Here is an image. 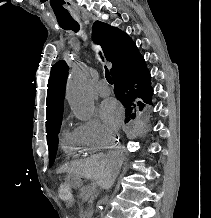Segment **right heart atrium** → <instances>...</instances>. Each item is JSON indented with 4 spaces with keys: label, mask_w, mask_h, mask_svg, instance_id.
<instances>
[{
    "label": "right heart atrium",
    "mask_w": 211,
    "mask_h": 218,
    "mask_svg": "<svg viewBox=\"0 0 211 218\" xmlns=\"http://www.w3.org/2000/svg\"><path fill=\"white\" fill-rule=\"evenodd\" d=\"M73 132L82 143L97 149L108 146L113 140L110 130L94 116L78 122Z\"/></svg>",
    "instance_id": "obj_1"
}]
</instances>
